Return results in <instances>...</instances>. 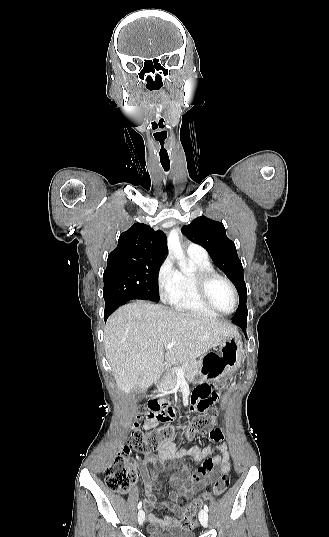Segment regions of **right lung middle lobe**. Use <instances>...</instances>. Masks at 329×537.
<instances>
[{
    "mask_svg": "<svg viewBox=\"0 0 329 537\" xmlns=\"http://www.w3.org/2000/svg\"><path fill=\"white\" fill-rule=\"evenodd\" d=\"M162 262L107 267L103 274V296L114 308L131 299L159 301L157 278Z\"/></svg>",
    "mask_w": 329,
    "mask_h": 537,
    "instance_id": "right-lung-middle-lobe-1",
    "label": "right lung middle lobe"
}]
</instances>
